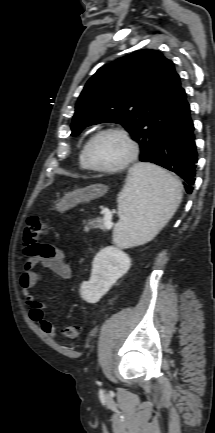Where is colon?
Returning <instances> with one entry per match:
<instances>
[{"instance_id":"1","label":"colon","mask_w":215,"mask_h":433,"mask_svg":"<svg viewBox=\"0 0 215 433\" xmlns=\"http://www.w3.org/2000/svg\"><path fill=\"white\" fill-rule=\"evenodd\" d=\"M47 230L46 223L38 217H30L24 229L23 241L26 245V253L32 252V247L38 244ZM80 326L77 324L68 325L64 329V336L69 340H75L80 335Z\"/></svg>"}]
</instances>
